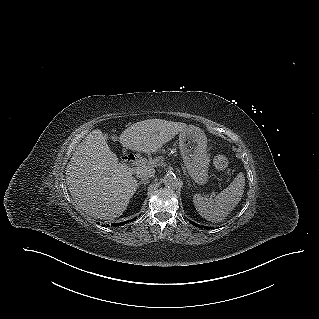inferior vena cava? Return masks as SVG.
Returning a JSON list of instances; mask_svg holds the SVG:
<instances>
[{"label": "inferior vena cava", "mask_w": 319, "mask_h": 319, "mask_svg": "<svg viewBox=\"0 0 319 319\" xmlns=\"http://www.w3.org/2000/svg\"><path fill=\"white\" fill-rule=\"evenodd\" d=\"M155 176V170L154 169H141L137 171L136 177L139 179H149Z\"/></svg>", "instance_id": "602c4592"}]
</instances>
